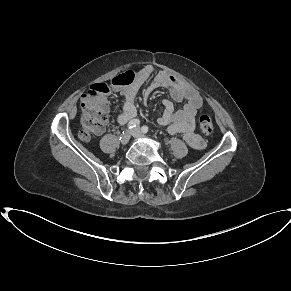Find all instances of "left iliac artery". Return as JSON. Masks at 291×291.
Returning <instances> with one entry per match:
<instances>
[{"mask_svg":"<svg viewBox=\"0 0 291 291\" xmlns=\"http://www.w3.org/2000/svg\"><path fill=\"white\" fill-rule=\"evenodd\" d=\"M141 131H142L143 133H147V132L149 131V128H148L147 126H143V127L141 128Z\"/></svg>","mask_w":291,"mask_h":291,"instance_id":"44dca946","label":"left iliac artery"}]
</instances>
